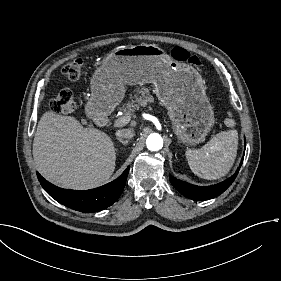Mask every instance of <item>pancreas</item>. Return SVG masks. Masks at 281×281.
Wrapping results in <instances>:
<instances>
[{
	"mask_svg": "<svg viewBox=\"0 0 281 281\" xmlns=\"http://www.w3.org/2000/svg\"><path fill=\"white\" fill-rule=\"evenodd\" d=\"M151 88L152 86H137L133 91L134 94H130V97L133 98V100L126 103V106L123 107V113H131L134 115L136 110L140 107L146 106L148 103H152L154 99L149 92Z\"/></svg>",
	"mask_w": 281,
	"mask_h": 281,
	"instance_id": "1",
	"label": "pancreas"
}]
</instances>
